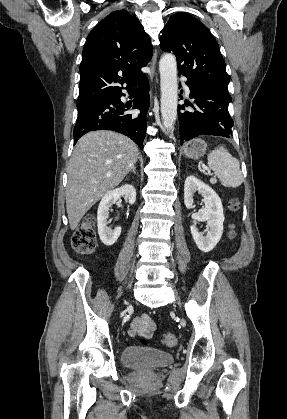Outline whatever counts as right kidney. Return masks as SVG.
Wrapping results in <instances>:
<instances>
[{"label":"right kidney","instance_id":"1","mask_svg":"<svg viewBox=\"0 0 287 419\" xmlns=\"http://www.w3.org/2000/svg\"><path fill=\"white\" fill-rule=\"evenodd\" d=\"M125 197L129 204H134L136 201V190L134 186L126 184L108 192L100 201L97 211V227L98 234L103 244L106 246L113 245L121 233V227L117 226L113 230L107 226V219L109 218V208L120 199Z\"/></svg>","mask_w":287,"mask_h":419}]
</instances>
